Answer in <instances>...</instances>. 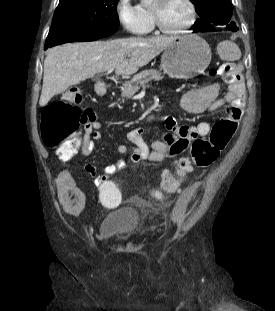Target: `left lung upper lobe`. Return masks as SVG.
<instances>
[{
  "instance_id": "5c2ea615",
  "label": "left lung upper lobe",
  "mask_w": 275,
  "mask_h": 311,
  "mask_svg": "<svg viewBox=\"0 0 275 311\" xmlns=\"http://www.w3.org/2000/svg\"><path fill=\"white\" fill-rule=\"evenodd\" d=\"M196 7L201 19L194 23L195 31H210L212 27L226 25L230 31L238 28L232 21V6L230 0H190Z\"/></svg>"
}]
</instances>
